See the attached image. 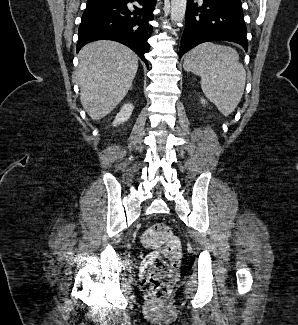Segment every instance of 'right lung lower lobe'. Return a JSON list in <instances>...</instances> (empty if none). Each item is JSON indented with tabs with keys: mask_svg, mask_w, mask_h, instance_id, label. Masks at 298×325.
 <instances>
[{
	"mask_svg": "<svg viewBox=\"0 0 298 325\" xmlns=\"http://www.w3.org/2000/svg\"><path fill=\"white\" fill-rule=\"evenodd\" d=\"M138 1L142 7L131 12L128 2ZM156 0H105L87 3L79 26L77 51L96 40H113L131 48L147 65L144 54L150 49L147 42L153 27ZM134 14V17L132 16Z\"/></svg>",
	"mask_w": 298,
	"mask_h": 325,
	"instance_id": "98d812e1",
	"label": "right lung lower lobe"
}]
</instances>
